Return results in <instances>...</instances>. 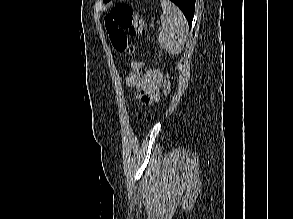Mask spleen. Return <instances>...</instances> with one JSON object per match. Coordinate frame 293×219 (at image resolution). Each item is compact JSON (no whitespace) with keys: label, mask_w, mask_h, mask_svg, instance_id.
Returning <instances> with one entry per match:
<instances>
[{"label":"spleen","mask_w":293,"mask_h":219,"mask_svg":"<svg viewBox=\"0 0 293 219\" xmlns=\"http://www.w3.org/2000/svg\"><path fill=\"white\" fill-rule=\"evenodd\" d=\"M161 30L158 43L162 49L172 55L180 54L184 48L188 23L181 10L169 0H161Z\"/></svg>","instance_id":"3e777b00"}]
</instances>
